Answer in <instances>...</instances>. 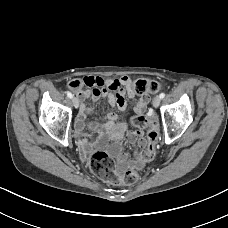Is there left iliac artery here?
Instances as JSON below:
<instances>
[{
    "mask_svg": "<svg viewBox=\"0 0 228 228\" xmlns=\"http://www.w3.org/2000/svg\"><path fill=\"white\" fill-rule=\"evenodd\" d=\"M160 99H163L165 97V93L162 92L160 95H159Z\"/></svg>",
    "mask_w": 228,
    "mask_h": 228,
    "instance_id": "44dca946",
    "label": "left iliac artery"
}]
</instances>
